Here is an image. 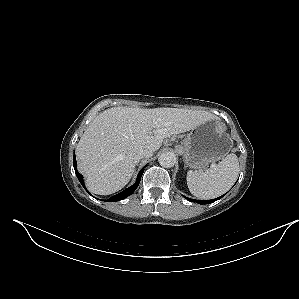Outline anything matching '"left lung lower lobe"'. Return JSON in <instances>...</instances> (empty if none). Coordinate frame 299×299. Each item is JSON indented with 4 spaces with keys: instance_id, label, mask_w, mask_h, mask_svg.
<instances>
[{
    "instance_id": "obj_1",
    "label": "left lung lower lobe",
    "mask_w": 299,
    "mask_h": 299,
    "mask_svg": "<svg viewBox=\"0 0 299 299\" xmlns=\"http://www.w3.org/2000/svg\"><path fill=\"white\" fill-rule=\"evenodd\" d=\"M223 196H220L216 199H212V200H194V199H191V198H187L185 197L187 200L191 201V202H196V203H199V204H210V203H213L214 201L222 198Z\"/></svg>"
}]
</instances>
